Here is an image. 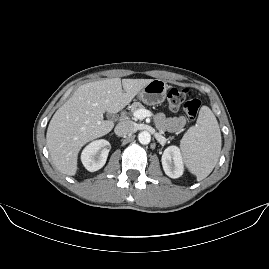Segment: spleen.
Masks as SVG:
<instances>
[{"label":"spleen","instance_id":"obj_1","mask_svg":"<svg viewBox=\"0 0 269 269\" xmlns=\"http://www.w3.org/2000/svg\"><path fill=\"white\" fill-rule=\"evenodd\" d=\"M181 148L188 167L199 181L215 167L221 150V133L215 115L207 106L200 108L196 125L184 134Z\"/></svg>","mask_w":269,"mask_h":269}]
</instances>
